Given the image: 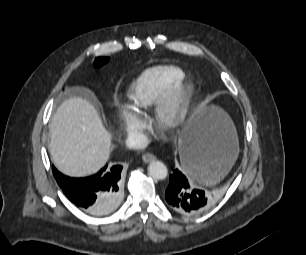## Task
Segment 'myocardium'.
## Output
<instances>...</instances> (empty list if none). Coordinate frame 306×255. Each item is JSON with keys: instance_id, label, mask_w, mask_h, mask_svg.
<instances>
[{"instance_id": "myocardium-1", "label": "myocardium", "mask_w": 306, "mask_h": 255, "mask_svg": "<svg viewBox=\"0 0 306 255\" xmlns=\"http://www.w3.org/2000/svg\"><path fill=\"white\" fill-rule=\"evenodd\" d=\"M194 94V83L186 81L164 95L153 110L155 124L164 130L180 127L187 118Z\"/></svg>"}]
</instances>
